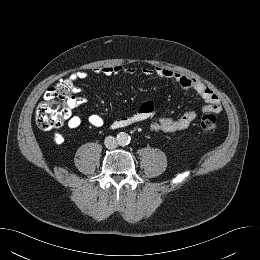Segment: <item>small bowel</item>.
I'll return each mask as SVG.
<instances>
[{"mask_svg": "<svg viewBox=\"0 0 260 260\" xmlns=\"http://www.w3.org/2000/svg\"><path fill=\"white\" fill-rule=\"evenodd\" d=\"M97 75L103 76H113L120 73H126L129 75H134L137 70L132 67L125 68L121 65H108L101 68H97L93 71ZM141 73L144 76H158L161 78L172 79L182 88L190 89L196 92L205 102L201 108V112H219L221 110L220 99L217 94L209 88L206 84L197 80L193 77L174 72L168 68L164 67H143ZM89 73L86 71H77L72 74L71 78L74 81L86 79ZM77 92L79 89L77 88ZM82 103L81 98L76 97L71 101L69 105V112L65 119L67 120V125L71 129H76L81 125V118L78 115L72 114V110L77 108ZM155 116V105L151 101L143 102L138 110L132 115L121 117L113 120L110 123L112 129H120L141 122L149 121L151 122L150 128L154 133H175L186 129L197 117V113L194 111H189L184 113L179 118H171L167 116L159 117L154 119ZM89 123L95 127H101L104 124L103 118L98 114H91L89 116ZM56 143H61L63 141V136L60 133L54 136Z\"/></svg>", "mask_w": 260, "mask_h": 260, "instance_id": "1", "label": "small bowel"}]
</instances>
